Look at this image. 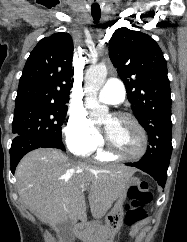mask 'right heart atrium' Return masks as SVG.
Segmentation results:
<instances>
[{"label": "right heart atrium", "instance_id": "obj_1", "mask_svg": "<svg viewBox=\"0 0 187 242\" xmlns=\"http://www.w3.org/2000/svg\"><path fill=\"white\" fill-rule=\"evenodd\" d=\"M65 142L68 149L79 156H88L102 144L99 132L90 119L80 111H72L66 120Z\"/></svg>", "mask_w": 187, "mask_h": 242}]
</instances>
